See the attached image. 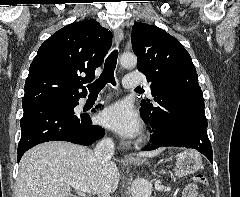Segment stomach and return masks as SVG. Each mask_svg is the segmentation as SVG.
<instances>
[{"mask_svg": "<svg viewBox=\"0 0 240 197\" xmlns=\"http://www.w3.org/2000/svg\"><path fill=\"white\" fill-rule=\"evenodd\" d=\"M137 165L148 163L145 159L134 161ZM202 168L201 156L194 150H186L176 156L175 175L182 177L193 174Z\"/></svg>", "mask_w": 240, "mask_h": 197, "instance_id": "obj_1", "label": "stomach"}]
</instances>
